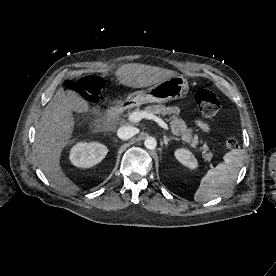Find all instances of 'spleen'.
I'll return each mask as SVG.
<instances>
[{
	"label": "spleen",
	"instance_id": "3e777b00",
	"mask_svg": "<svg viewBox=\"0 0 276 276\" xmlns=\"http://www.w3.org/2000/svg\"><path fill=\"white\" fill-rule=\"evenodd\" d=\"M224 161L208 172L201 179L194 194L196 202H207L225 193L234 183L243 164L242 150H232L223 157Z\"/></svg>",
	"mask_w": 276,
	"mask_h": 276
}]
</instances>
